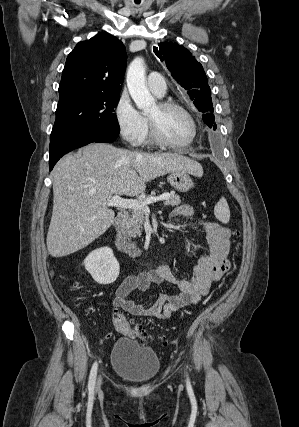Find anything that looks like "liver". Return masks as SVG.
Instances as JSON below:
<instances>
[{
    "instance_id": "1",
    "label": "liver",
    "mask_w": 299,
    "mask_h": 427,
    "mask_svg": "<svg viewBox=\"0 0 299 427\" xmlns=\"http://www.w3.org/2000/svg\"><path fill=\"white\" fill-rule=\"evenodd\" d=\"M203 175L202 166L179 154H151L92 143L65 155L53 169V212L47 249L72 254L101 236L114 222L106 202L113 195L137 196L146 183L172 171Z\"/></svg>"
}]
</instances>
